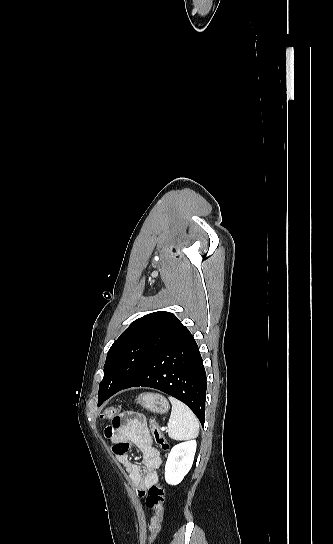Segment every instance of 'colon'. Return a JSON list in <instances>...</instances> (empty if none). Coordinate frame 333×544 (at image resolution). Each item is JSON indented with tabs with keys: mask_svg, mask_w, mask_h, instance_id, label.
Listing matches in <instances>:
<instances>
[{
	"mask_svg": "<svg viewBox=\"0 0 333 544\" xmlns=\"http://www.w3.org/2000/svg\"><path fill=\"white\" fill-rule=\"evenodd\" d=\"M119 407H108L102 411L100 418L102 420L114 419L118 416ZM150 429L155 444L165 453L170 450V444L163 436L160 426L155 419H150ZM165 488L162 483H157L148 489L145 503L148 508L154 510V516L151 519L149 544H152L161 530V524L164 515Z\"/></svg>",
	"mask_w": 333,
	"mask_h": 544,
	"instance_id": "obj_1",
	"label": "colon"
}]
</instances>
